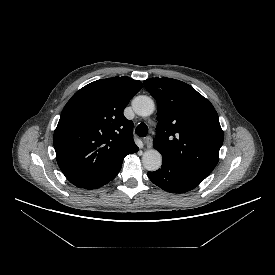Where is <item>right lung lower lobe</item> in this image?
<instances>
[{
    "mask_svg": "<svg viewBox=\"0 0 275 275\" xmlns=\"http://www.w3.org/2000/svg\"><path fill=\"white\" fill-rule=\"evenodd\" d=\"M121 167L119 169H117L116 171H114L112 174H110L108 177L103 178L99 181H96L86 187H84L85 189H95V188H99L105 184H107L108 182H110L111 180H113L116 175L118 174V172L120 171Z\"/></svg>",
    "mask_w": 275,
    "mask_h": 275,
    "instance_id": "1",
    "label": "right lung lower lobe"
}]
</instances>
